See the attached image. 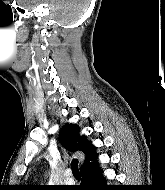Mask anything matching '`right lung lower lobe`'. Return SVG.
<instances>
[{
    "label": "right lung lower lobe",
    "instance_id": "1",
    "mask_svg": "<svg viewBox=\"0 0 165 190\" xmlns=\"http://www.w3.org/2000/svg\"><path fill=\"white\" fill-rule=\"evenodd\" d=\"M82 184L80 190H113L109 185L102 183V172L95 161L90 166L81 169Z\"/></svg>",
    "mask_w": 165,
    "mask_h": 190
}]
</instances>
